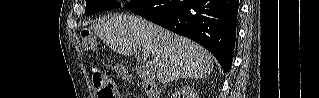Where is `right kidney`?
<instances>
[{"instance_id": "right-kidney-1", "label": "right kidney", "mask_w": 319, "mask_h": 98, "mask_svg": "<svg viewBox=\"0 0 319 98\" xmlns=\"http://www.w3.org/2000/svg\"><path fill=\"white\" fill-rule=\"evenodd\" d=\"M189 94L195 97V93L193 92V90H189Z\"/></svg>"}]
</instances>
